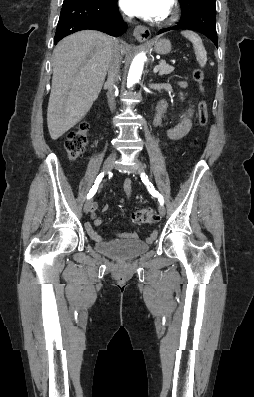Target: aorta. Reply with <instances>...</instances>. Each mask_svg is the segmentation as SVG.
<instances>
[{"label":"aorta","mask_w":254,"mask_h":397,"mask_svg":"<svg viewBox=\"0 0 254 397\" xmlns=\"http://www.w3.org/2000/svg\"><path fill=\"white\" fill-rule=\"evenodd\" d=\"M146 59L145 53L138 54L132 61L128 78H127V86L132 87L135 83H137L141 77L144 61Z\"/></svg>","instance_id":"obj_1"}]
</instances>
